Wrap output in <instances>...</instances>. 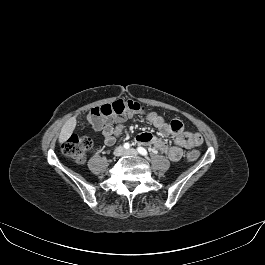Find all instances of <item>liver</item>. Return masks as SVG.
<instances>
[{"label":"liver","mask_w":265,"mask_h":265,"mask_svg":"<svg viewBox=\"0 0 265 265\" xmlns=\"http://www.w3.org/2000/svg\"><path fill=\"white\" fill-rule=\"evenodd\" d=\"M76 116L69 118L61 128V132L59 134V142L63 143L68 140V138L72 135L75 127H76Z\"/></svg>","instance_id":"1"}]
</instances>
